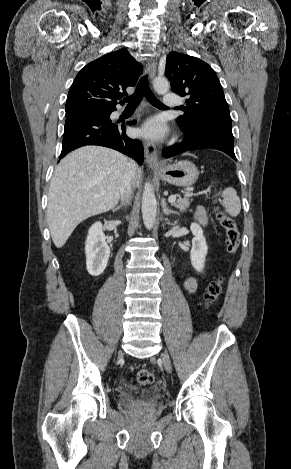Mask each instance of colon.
Masks as SVG:
<instances>
[{
    "label": "colon",
    "instance_id": "colon-1",
    "mask_svg": "<svg viewBox=\"0 0 291 469\" xmlns=\"http://www.w3.org/2000/svg\"><path fill=\"white\" fill-rule=\"evenodd\" d=\"M215 193V188H212ZM217 203L218 201L215 200ZM217 219L225 231V247L229 254L233 255L239 248L240 236L235 221L226 213H224L219 206L216 207ZM223 278L218 277L211 281L207 287L204 300L207 306L215 303L222 294ZM138 382L142 385H149L154 381V375L147 369H141L137 374Z\"/></svg>",
    "mask_w": 291,
    "mask_h": 469
}]
</instances>
